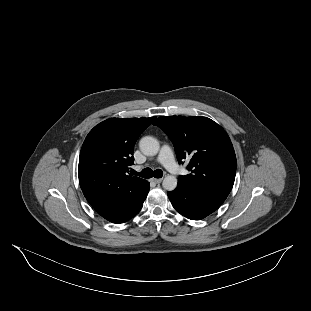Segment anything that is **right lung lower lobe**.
Returning a JSON list of instances; mask_svg holds the SVG:
<instances>
[{
  "label": "right lung lower lobe",
  "mask_w": 311,
  "mask_h": 311,
  "mask_svg": "<svg viewBox=\"0 0 311 311\" xmlns=\"http://www.w3.org/2000/svg\"><path fill=\"white\" fill-rule=\"evenodd\" d=\"M150 186L149 183L146 186L144 193L135 201V203L132 205V207H130L127 211V213L121 217L120 219H117L115 222L113 223H123L128 221L129 219L133 218L142 208L143 206V202L147 197V194L149 192Z\"/></svg>",
  "instance_id": "1"
}]
</instances>
